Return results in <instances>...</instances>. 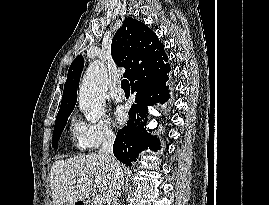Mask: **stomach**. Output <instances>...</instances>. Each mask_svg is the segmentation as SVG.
Returning <instances> with one entry per match:
<instances>
[{
	"instance_id": "0dacf381",
	"label": "stomach",
	"mask_w": 269,
	"mask_h": 205,
	"mask_svg": "<svg viewBox=\"0 0 269 205\" xmlns=\"http://www.w3.org/2000/svg\"><path fill=\"white\" fill-rule=\"evenodd\" d=\"M74 205H86V203L84 201H77Z\"/></svg>"
}]
</instances>
